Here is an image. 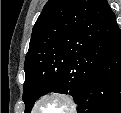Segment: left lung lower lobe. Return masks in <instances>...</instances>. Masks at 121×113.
<instances>
[{
    "label": "left lung lower lobe",
    "mask_w": 121,
    "mask_h": 113,
    "mask_svg": "<svg viewBox=\"0 0 121 113\" xmlns=\"http://www.w3.org/2000/svg\"><path fill=\"white\" fill-rule=\"evenodd\" d=\"M78 113H121V31L77 99Z\"/></svg>",
    "instance_id": "left-lung-lower-lobe-1"
}]
</instances>
